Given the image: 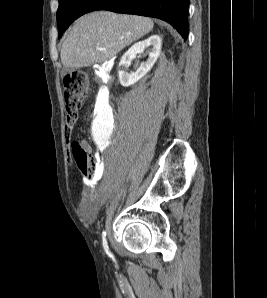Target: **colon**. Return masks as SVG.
<instances>
[{
    "instance_id": "5ec220e1",
    "label": "colon",
    "mask_w": 267,
    "mask_h": 298,
    "mask_svg": "<svg viewBox=\"0 0 267 298\" xmlns=\"http://www.w3.org/2000/svg\"><path fill=\"white\" fill-rule=\"evenodd\" d=\"M88 79L84 72H73L64 78V98L66 107V132L75 124L83 99L87 93ZM71 156L78 170L86 177L92 178L96 163L86 148L78 141L71 145Z\"/></svg>"
}]
</instances>
